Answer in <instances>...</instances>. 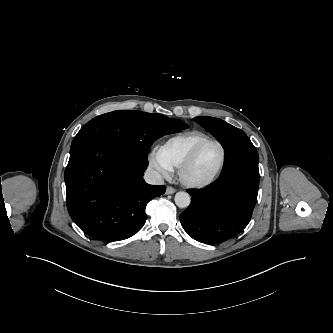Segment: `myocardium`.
Wrapping results in <instances>:
<instances>
[{"label": "myocardium", "mask_w": 333, "mask_h": 333, "mask_svg": "<svg viewBox=\"0 0 333 333\" xmlns=\"http://www.w3.org/2000/svg\"><path fill=\"white\" fill-rule=\"evenodd\" d=\"M210 143H214L220 148L221 157H220L218 165L216 166L214 171L208 177L201 179V180L191 179L188 176V170L194 163L200 150L205 145L210 144ZM225 159H226V150H225L224 145L215 138H207V139L199 142L192 149V151L189 153V155L186 157V159L182 162V164L179 166V168H178L179 179H180L181 183L188 188H203V187L211 184L216 179V177L220 174V172L224 166Z\"/></svg>", "instance_id": "obj_1"}]
</instances>
